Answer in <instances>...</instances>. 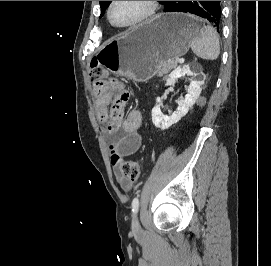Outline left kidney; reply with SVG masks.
Listing matches in <instances>:
<instances>
[{
	"label": "left kidney",
	"instance_id": "obj_1",
	"mask_svg": "<svg viewBox=\"0 0 271 266\" xmlns=\"http://www.w3.org/2000/svg\"><path fill=\"white\" fill-rule=\"evenodd\" d=\"M192 76L194 80L190 83L187 89V94L184 99L178 102L177 110L170 116H165L160 110L161 103H157L152 109V121L153 124L161 129L166 130L171 125L177 123L183 116H185L189 109L196 103L202 91V85L204 84L205 75L201 71V67L193 65L192 68L189 65L178 67L171 72L167 79V85H174L178 78L182 76Z\"/></svg>",
	"mask_w": 271,
	"mask_h": 266
}]
</instances>
